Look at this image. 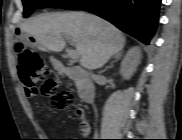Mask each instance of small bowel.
Instances as JSON below:
<instances>
[{
	"mask_svg": "<svg viewBox=\"0 0 182 140\" xmlns=\"http://www.w3.org/2000/svg\"><path fill=\"white\" fill-rule=\"evenodd\" d=\"M80 133H81V135L83 137H87L89 135V133H90V127H89V125L86 122H83L81 124V126H80Z\"/></svg>",
	"mask_w": 182,
	"mask_h": 140,
	"instance_id": "obj_1",
	"label": "small bowel"
}]
</instances>
